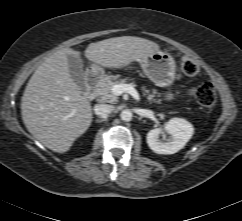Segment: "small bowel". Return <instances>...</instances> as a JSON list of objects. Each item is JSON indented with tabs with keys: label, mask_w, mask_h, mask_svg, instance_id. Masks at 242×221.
<instances>
[{
	"label": "small bowel",
	"mask_w": 242,
	"mask_h": 221,
	"mask_svg": "<svg viewBox=\"0 0 242 221\" xmlns=\"http://www.w3.org/2000/svg\"><path fill=\"white\" fill-rule=\"evenodd\" d=\"M194 90H192V92H193ZM166 97H169V95H166Z\"/></svg>",
	"instance_id": "c3829d8e"
}]
</instances>
